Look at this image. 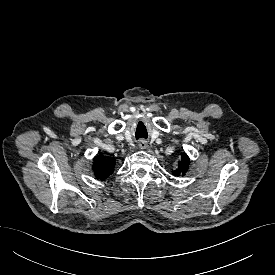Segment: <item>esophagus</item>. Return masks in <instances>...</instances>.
<instances>
[{
    "instance_id": "obj_1",
    "label": "esophagus",
    "mask_w": 275,
    "mask_h": 275,
    "mask_svg": "<svg viewBox=\"0 0 275 275\" xmlns=\"http://www.w3.org/2000/svg\"><path fill=\"white\" fill-rule=\"evenodd\" d=\"M138 145L141 149H146L148 147V142L142 139L139 141Z\"/></svg>"
}]
</instances>
